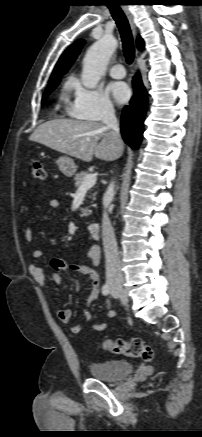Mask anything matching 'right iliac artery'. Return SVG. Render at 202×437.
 Returning <instances> with one entry per match:
<instances>
[{
  "instance_id": "right-iliac-artery-1",
  "label": "right iliac artery",
  "mask_w": 202,
  "mask_h": 437,
  "mask_svg": "<svg viewBox=\"0 0 202 437\" xmlns=\"http://www.w3.org/2000/svg\"><path fill=\"white\" fill-rule=\"evenodd\" d=\"M110 293V287L108 284H104L102 286V294L103 295H108Z\"/></svg>"
}]
</instances>
